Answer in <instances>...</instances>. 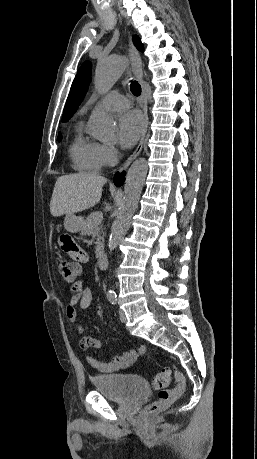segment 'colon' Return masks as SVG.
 <instances>
[{"instance_id":"obj_1","label":"colon","mask_w":257,"mask_h":459,"mask_svg":"<svg viewBox=\"0 0 257 459\" xmlns=\"http://www.w3.org/2000/svg\"><path fill=\"white\" fill-rule=\"evenodd\" d=\"M57 269L59 275L67 283L71 284L74 283L79 276L81 264H69L68 259H63L58 262ZM172 374L176 379L177 385L174 388L169 389L168 386L170 384ZM152 386L154 389L159 390L158 398L145 408L144 414L146 416L157 414L170 406L176 398L184 392L186 379L181 372L176 370L172 372L170 368H164L154 376Z\"/></svg>"}]
</instances>
